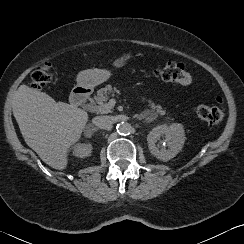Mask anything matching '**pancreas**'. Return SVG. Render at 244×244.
<instances>
[{"label": "pancreas", "instance_id": "obj_1", "mask_svg": "<svg viewBox=\"0 0 244 244\" xmlns=\"http://www.w3.org/2000/svg\"><path fill=\"white\" fill-rule=\"evenodd\" d=\"M114 92H119L117 88H112L111 85H107L104 88H101L97 91V95L94 96L92 99V102L95 105V110L98 113L105 114L112 112V107L108 106L107 101L110 96H114ZM140 100L142 102L147 103V105L151 108L153 112H155L157 115H165V111L162 109V107L158 104H155L152 100L146 99L145 97H140ZM167 120H172L170 117H166Z\"/></svg>", "mask_w": 244, "mask_h": 244}]
</instances>
